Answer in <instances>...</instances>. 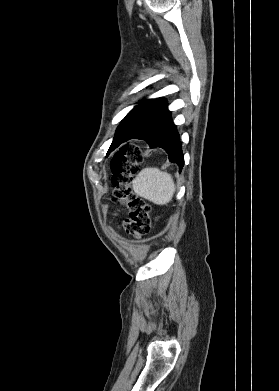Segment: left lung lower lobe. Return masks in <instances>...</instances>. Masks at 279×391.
I'll use <instances>...</instances> for the list:
<instances>
[{"instance_id": "0a47b994", "label": "left lung lower lobe", "mask_w": 279, "mask_h": 391, "mask_svg": "<svg viewBox=\"0 0 279 391\" xmlns=\"http://www.w3.org/2000/svg\"><path fill=\"white\" fill-rule=\"evenodd\" d=\"M129 139L145 140L151 148L160 147L164 149L168 153L169 160L179 166V171L182 170L184 166V158L182 154L180 136L176 126L172 122L170 112L141 133L136 135H126L122 139L121 143Z\"/></svg>"}]
</instances>
